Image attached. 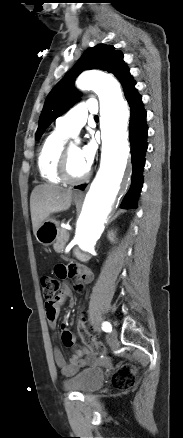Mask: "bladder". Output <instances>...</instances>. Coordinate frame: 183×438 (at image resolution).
Segmentation results:
<instances>
[{"mask_svg": "<svg viewBox=\"0 0 183 438\" xmlns=\"http://www.w3.org/2000/svg\"><path fill=\"white\" fill-rule=\"evenodd\" d=\"M105 381L104 373L97 368H87L65 381L68 390L90 393L100 389Z\"/></svg>", "mask_w": 183, "mask_h": 438, "instance_id": "obj_1", "label": "bladder"}]
</instances>
